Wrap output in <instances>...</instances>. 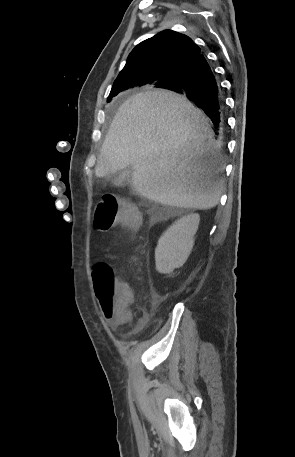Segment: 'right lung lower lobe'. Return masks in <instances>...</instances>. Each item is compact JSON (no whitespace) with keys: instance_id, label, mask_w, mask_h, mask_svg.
<instances>
[{"instance_id":"obj_1","label":"right lung lower lobe","mask_w":295,"mask_h":457,"mask_svg":"<svg viewBox=\"0 0 295 457\" xmlns=\"http://www.w3.org/2000/svg\"><path fill=\"white\" fill-rule=\"evenodd\" d=\"M157 87L185 95L205 111L216 127L223 124L224 100L221 86L202 54L184 66L176 79Z\"/></svg>"}]
</instances>
